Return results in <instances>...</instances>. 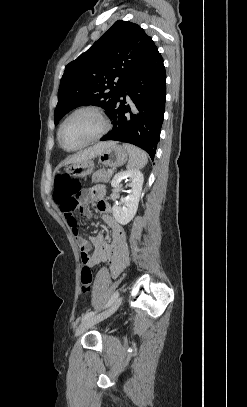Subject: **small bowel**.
Returning <instances> with one entry per match:
<instances>
[{"label":"small bowel","mask_w":247,"mask_h":407,"mask_svg":"<svg viewBox=\"0 0 247 407\" xmlns=\"http://www.w3.org/2000/svg\"><path fill=\"white\" fill-rule=\"evenodd\" d=\"M104 194L105 190L102 186H95L86 193L85 199L96 202L103 221L111 231L110 242L102 232L88 240L80 236L76 213L87 217L91 213L85 202L79 197L76 196L59 205L66 223L79 245L82 263L85 266L93 267L102 262H108L112 276L117 277L128 264L129 251L123 227L114 217L110 204L103 199ZM92 246L94 250L91 253Z\"/></svg>","instance_id":"c3829d8e"}]
</instances>
